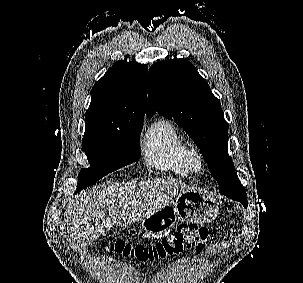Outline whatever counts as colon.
I'll list each match as a JSON object with an SVG mask.
<instances>
[{
	"instance_id": "5ec220e1",
	"label": "colon",
	"mask_w": 303,
	"mask_h": 283,
	"mask_svg": "<svg viewBox=\"0 0 303 283\" xmlns=\"http://www.w3.org/2000/svg\"><path fill=\"white\" fill-rule=\"evenodd\" d=\"M209 232L196 225H181L172 235L150 245H131L117 241L105 245L106 250L141 263L171 258L185 250L203 249Z\"/></svg>"
}]
</instances>
